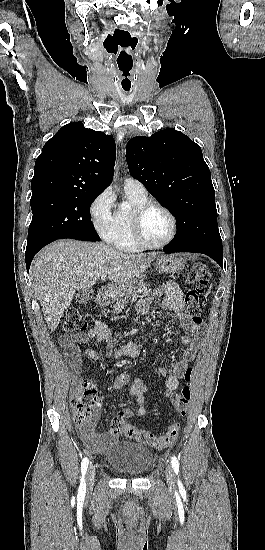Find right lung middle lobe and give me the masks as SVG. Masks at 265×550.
I'll return each instance as SVG.
<instances>
[{
	"instance_id": "dd1d6c3e",
	"label": "right lung middle lobe",
	"mask_w": 265,
	"mask_h": 550,
	"mask_svg": "<svg viewBox=\"0 0 265 550\" xmlns=\"http://www.w3.org/2000/svg\"><path fill=\"white\" fill-rule=\"evenodd\" d=\"M98 194L68 195L57 192L32 194V221L28 230L26 253L65 236L100 241L90 217V206Z\"/></svg>"
}]
</instances>
